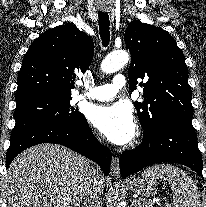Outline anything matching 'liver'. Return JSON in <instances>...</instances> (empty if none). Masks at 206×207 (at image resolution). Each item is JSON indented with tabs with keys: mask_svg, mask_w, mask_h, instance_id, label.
<instances>
[{
	"mask_svg": "<svg viewBox=\"0 0 206 207\" xmlns=\"http://www.w3.org/2000/svg\"><path fill=\"white\" fill-rule=\"evenodd\" d=\"M90 161L57 144L18 155L5 175L9 207H78L90 181ZM100 193L106 179H99Z\"/></svg>",
	"mask_w": 206,
	"mask_h": 207,
	"instance_id": "6515ba94",
	"label": "liver"
}]
</instances>
